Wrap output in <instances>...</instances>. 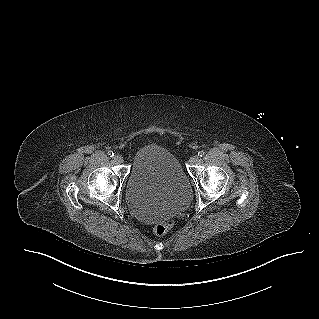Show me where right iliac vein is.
I'll return each mask as SVG.
<instances>
[{"mask_svg": "<svg viewBox=\"0 0 319 319\" xmlns=\"http://www.w3.org/2000/svg\"><path fill=\"white\" fill-rule=\"evenodd\" d=\"M113 160L117 164L123 163V157L121 155H119V154L114 155Z\"/></svg>", "mask_w": 319, "mask_h": 319, "instance_id": "63e3f726", "label": "right iliac vein"}]
</instances>
